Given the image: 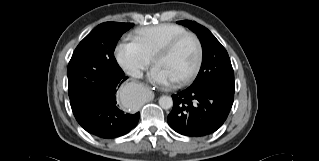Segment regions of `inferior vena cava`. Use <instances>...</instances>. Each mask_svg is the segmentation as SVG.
Wrapping results in <instances>:
<instances>
[{"label": "inferior vena cava", "mask_w": 319, "mask_h": 161, "mask_svg": "<svg viewBox=\"0 0 319 161\" xmlns=\"http://www.w3.org/2000/svg\"><path fill=\"white\" fill-rule=\"evenodd\" d=\"M127 74L134 77V78H142L143 73L140 69L137 68H130L127 70Z\"/></svg>", "instance_id": "1"}]
</instances>
